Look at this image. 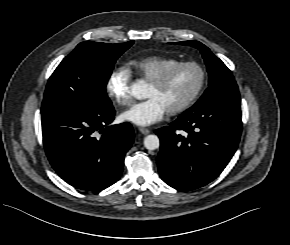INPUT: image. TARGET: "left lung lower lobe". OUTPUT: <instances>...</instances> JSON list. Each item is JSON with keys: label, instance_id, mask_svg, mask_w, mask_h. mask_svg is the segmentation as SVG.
Returning <instances> with one entry per match:
<instances>
[{"label": "left lung lower lobe", "instance_id": "obj_1", "mask_svg": "<svg viewBox=\"0 0 290 245\" xmlns=\"http://www.w3.org/2000/svg\"><path fill=\"white\" fill-rule=\"evenodd\" d=\"M241 128L240 105L211 102L192 106L169 126L157 129L162 180L182 191L210 183L234 155Z\"/></svg>", "mask_w": 290, "mask_h": 245}]
</instances>
